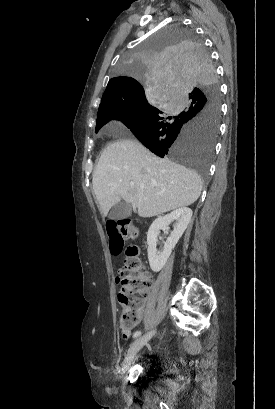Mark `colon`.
I'll use <instances>...</instances> for the list:
<instances>
[{
  "label": "colon",
  "instance_id": "colon-1",
  "mask_svg": "<svg viewBox=\"0 0 275 409\" xmlns=\"http://www.w3.org/2000/svg\"><path fill=\"white\" fill-rule=\"evenodd\" d=\"M110 251L114 254L128 249V258L123 262V267L118 268L121 274V291L118 299L121 304L122 314L118 325H123L125 330H132L137 325L143 307V292L150 291L153 281L149 274L143 270V262L138 256L140 246L129 244L135 240L138 232L132 221L113 220L106 227Z\"/></svg>",
  "mask_w": 275,
  "mask_h": 409
}]
</instances>
